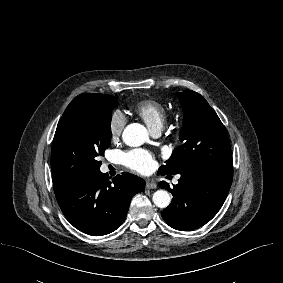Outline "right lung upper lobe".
Returning a JSON list of instances; mask_svg holds the SVG:
<instances>
[{"label": "right lung upper lobe", "instance_id": "cb5924a9", "mask_svg": "<svg viewBox=\"0 0 283 283\" xmlns=\"http://www.w3.org/2000/svg\"><path fill=\"white\" fill-rule=\"evenodd\" d=\"M103 94H80L79 96H77L76 98H83V97H89V96H100Z\"/></svg>", "mask_w": 283, "mask_h": 283}]
</instances>
